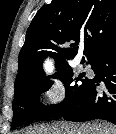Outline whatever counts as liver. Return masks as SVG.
<instances>
[{
	"mask_svg": "<svg viewBox=\"0 0 116 134\" xmlns=\"http://www.w3.org/2000/svg\"><path fill=\"white\" fill-rule=\"evenodd\" d=\"M24 134H116V129L107 123H94L92 125L57 123L28 130Z\"/></svg>",
	"mask_w": 116,
	"mask_h": 134,
	"instance_id": "6515ba94",
	"label": "liver"
}]
</instances>
